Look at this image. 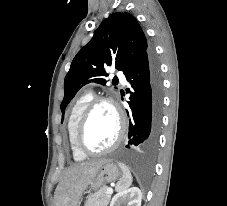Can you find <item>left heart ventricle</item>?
Returning <instances> with one entry per match:
<instances>
[{"label":"left heart ventricle","mask_w":227,"mask_h":206,"mask_svg":"<svg viewBox=\"0 0 227 206\" xmlns=\"http://www.w3.org/2000/svg\"><path fill=\"white\" fill-rule=\"evenodd\" d=\"M118 134V120L108 104L98 105L92 112L84 133V142L91 150H102L110 146Z\"/></svg>","instance_id":"left-heart-ventricle-1"}]
</instances>
